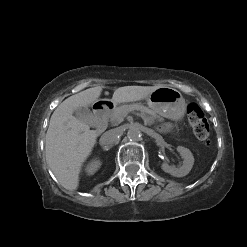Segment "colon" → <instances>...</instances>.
Here are the masks:
<instances>
[{"mask_svg": "<svg viewBox=\"0 0 247 247\" xmlns=\"http://www.w3.org/2000/svg\"><path fill=\"white\" fill-rule=\"evenodd\" d=\"M187 118L197 139L209 144L210 127L202 109L196 104H190L187 108Z\"/></svg>", "mask_w": 247, "mask_h": 247, "instance_id": "1", "label": "colon"}]
</instances>
